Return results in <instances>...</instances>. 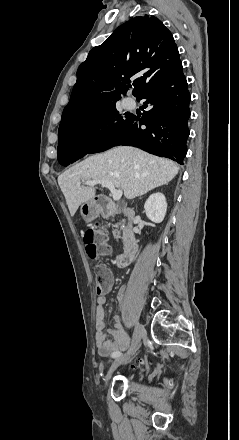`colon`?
I'll return each mask as SVG.
<instances>
[{"mask_svg":"<svg viewBox=\"0 0 239 440\" xmlns=\"http://www.w3.org/2000/svg\"><path fill=\"white\" fill-rule=\"evenodd\" d=\"M86 245V252L90 259L96 260L109 254L110 246L104 230L98 226L89 228L84 232L83 237ZM109 283L107 269L103 266L96 268V287L98 293H102Z\"/></svg>","mask_w":239,"mask_h":440,"instance_id":"1","label":"colon"}]
</instances>
